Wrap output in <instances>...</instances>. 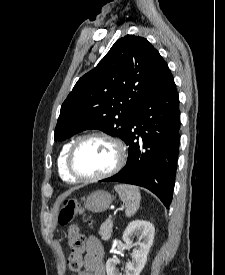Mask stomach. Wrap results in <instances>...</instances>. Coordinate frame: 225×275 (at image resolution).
<instances>
[{
    "instance_id": "stomach-1",
    "label": "stomach",
    "mask_w": 225,
    "mask_h": 275,
    "mask_svg": "<svg viewBox=\"0 0 225 275\" xmlns=\"http://www.w3.org/2000/svg\"><path fill=\"white\" fill-rule=\"evenodd\" d=\"M112 203V197L108 192L96 191L90 194L84 201L87 210L93 213H100L109 208Z\"/></svg>"
}]
</instances>
